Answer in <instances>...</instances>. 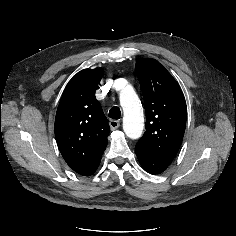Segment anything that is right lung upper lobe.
Returning <instances> with one entry per match:
<instances>
[{"mask_svg":"<svg viewBox=\"0 0 236 236\" xmlns=\"http://www.w3.org/2000/svg\"><path fill=\"white\" fill-rule=\"evenodd\" d=\"M103 69H84L67 84L55 118L58 148L71 169L92 175L107 146L110 127L95 97Z\"/></svg>","mask_w":236,"mask_h":236,"instance_id":"1","label":"right lung upper lobe"}]
</instances>
